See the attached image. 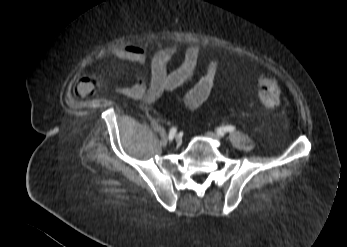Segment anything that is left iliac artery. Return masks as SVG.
I'll return each mask as SVG.
<instances>
[{
    "label": "left iliac artery",
    "instance_id": "left-iliac-artery-1",
    "mask_svg": "<svg viewBox=\"0 0 347 247\" xmlns=\"http://www.w3.org/2000/svg\"><path fill=\"white\" fill-rule=\"evenodd\" d=\"M233 131H235V127L231 125L217 129V133L221 136H223L225 132H233Z\"/></svg>",
    "mask_w": 347,
    "mask_h": 247
}]
</instances>
